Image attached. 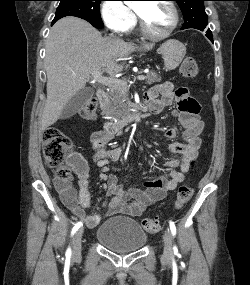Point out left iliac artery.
<instances>
[{"label":"left iliac artery","instance_id":"obj_1","mask_svg":"<svg viewBox=\"0 0 250 285\" xmlns=\"http://www.w3.org/2000/svg\"><path fill=\"white\" fill-rule=\"evenodd\" d=\"M169 226H170V230H171L172 235L175 236L176 235V226H175V224L172 221H170L169 222ZM174 251H176V247H174Z\"/></svg>","mask_w":250,"mask_h":285}]
</instances>
